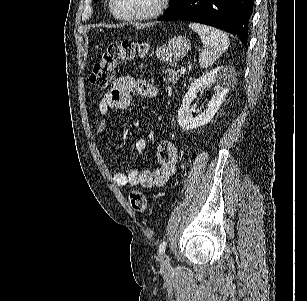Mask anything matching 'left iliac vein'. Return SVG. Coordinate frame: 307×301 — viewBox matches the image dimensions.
<instances>
[{
  "label": "left iliac vein",
  "mask_w": 307,
  "mask_h": 301,
  "mask_svg": "<svg viewBox=\"0 0 307 301\" xmlns=\"http://www.w3.org/2000/svg\"><path fill=\"white\" fill-rule=\"evenodd\" d=\"M161 266L164 269H169L171 266L170 261H169V256L166 253L162 255Z\"/></svg>",
  "instance_id": "left-iliac-vein-1"
}]
</instances>
